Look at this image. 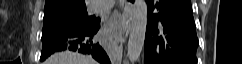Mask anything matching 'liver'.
I'll use <instances>...</instances> for the list:
<instances>
[{
	"instance_id": "obj_1",
	"label": "liver",
	"mask_w": 242,
	"mask_h": 64,
	"mask_svg": "<svg viewBox=\"0 0 242 64\" xmlns=\"http://www.w3.org/2000/svg\"><path fill=\"white\" fill-rule=\"evenodd\" d=\"M46 64H98L90 56H85L79 53L70 51L56 53L52 55Z\"/></svg>"
}]
</instances>
